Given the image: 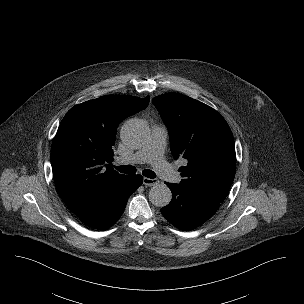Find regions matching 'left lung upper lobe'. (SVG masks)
<instances>
[{
	"label": "left lung upper lobe",
	"instance_id": "left-lung-upper-lobe-1",
	"mask_svg": "<svg viewBox=\"0 0 304 304\" xmlns=\"http://www.w3.org/2000/svg\"><path fill=\"white\" fill-rule=\"evenodd\" d=\"M168 127L175 159H187L179 171L183 188L223 202L234 180L236 161L232 132L213 108L188 96L167 93L152 100Z\"/></svg>",
	"mask_w": 304,
	"mask_h": 304
}]
</instances>
